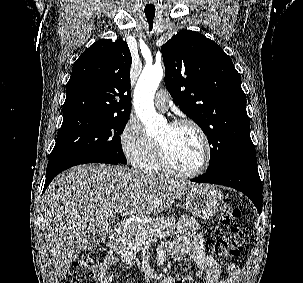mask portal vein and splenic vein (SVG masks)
Here are the masks:
<instances>
[{
  "label": "portal vein and splenic vein",
  "mask_w": 303,
  "mask_h": 283,
  "mask_svg": "<svg viewBox=\"0 0 303 283\" xmlns=\"http://www.w3.org/2000/svg\"><path fill=\"white\" fill-rule=\"evenodd\" d=\"M127 209H123L122 212L126 211Z\"/></svg>",
  "instance_id": "18ae733b"
}]
</instances>
